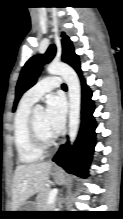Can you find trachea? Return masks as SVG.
Instances as JSON below:
<instances>
[{
  "instance_id": "obj_1",
  "label": "trachea",
  "mask_w": 123,
  "mask_h": 219,
  "mask_svg": "<svg viewBox=\"0 0 123 219\" xmlns=\"http://www.w3.org/2000/svg\"><path fill=\"white\" fill-rule=\"evenodd\" d=\"M62 88L66 89L67 88L66 84H62Z\"/></svg>"
}]
</instances>
